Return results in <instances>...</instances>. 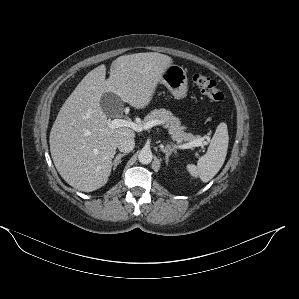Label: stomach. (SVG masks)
Here are the masks:
<instances>
[{"instance_id": "1", "label": "stomach", "mask_w": 299, "mask_h": 299, "mask_svg": "<svg viewBox=\"0 0 299 299\" xmlns=\"http://www.w3.org/2000/svg\"><path fill=\"white\" fill-rule=\"evenodd\" d=\"M163 84L177 100L186 98L188 92V79L183 67L171 64L162 74L160 79Z\"/></svg>"}]
</instances>
